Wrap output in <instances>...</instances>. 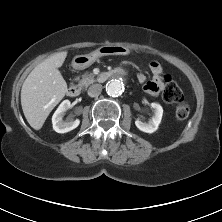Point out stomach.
<instances>
[{
	"instance_id": "stomach-1",
	"label": "stomach",
	"mask_w": 222,
	"mask_h": 222,
	"mask_svg": "<svg viewBox=\"0 0 222 222\" xmlns=\"http://www.w3.org/2000/svg\"><path fill=\"white\" fill-rule=\"evenodd\" d=\"M127 54H129V49L126 47L106 45L90 54L75 56L72 60V67L76 70H83L91 66L99 57Z\"/></svg>"
}]
</instances>
